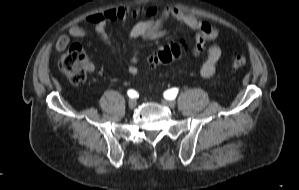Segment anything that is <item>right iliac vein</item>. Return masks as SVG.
Here are the masks:
<instances>
[{
  "instance_id": "obj_1",
  "label": "right iliac vein",
  "mask_w": 299,
  "mask_h": 190,
  "mask_svg": "<svg viewBox=\"0 0 299 190\" xmlns=\"http://www.w3.org/2000/svg\"><path fill=\"white\" fill-rule=\"evenodd\" d=\"M128 105L131 109L135 108L136 105H137V101L136 99H130L129 102H128Z\"/></svg>"
}]
</instances>
